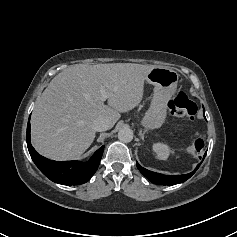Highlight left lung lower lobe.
<instances>
[{"mask_svg":"<svg viewBox=\"0 0 237 237\" xmlns=\"http://www.w3.org/2000/svg\"><path fill=\"white\" fill-rule=\"evenodd\" d=\"M205 156H206V153H205L203 159L205 158ZM136 165H137V168L140 170V172L145 177H147L152 183L158 184V185H174V184L182 183V182L186 181L187 179H189L197 171V169L199 168L201 163H199L197 165L196 169L189 174L173 175V176L151 172V171L143 168L142 166H140L138 163H136Z\"/></svg>","mask_w":237,"mask_h":237,"instance_id":"1","label":"left lung lower lobe"}]
</instances>
